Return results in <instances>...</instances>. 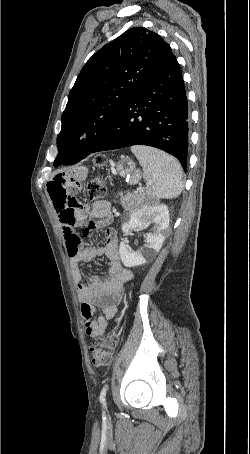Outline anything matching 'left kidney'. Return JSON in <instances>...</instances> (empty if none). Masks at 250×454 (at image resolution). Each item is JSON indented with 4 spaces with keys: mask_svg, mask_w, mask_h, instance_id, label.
<instances>
[{
    "mask_svg": "<svg viewBox=\"0 0 250 454\" xmlns=\"http://www.w3.org/2000/svg\"><path fill=\"white\" fill-rule=\"evenodd\" d=\"M151 224H154L153 233L147 234L146 245L140 250L131 251L123 241L120 243V258L124 266L134 267L145 264L147 258L153 257L160 251L169 227V210L166 205L146 204L134 210L123 223L122 231L128 234L132 230L145 229Z\"/></svg>",
    "mask_w": 250,
    "mask_h": 454,
    "instance_id": "1",
    "label": "left kidney"
}]
</instances>
